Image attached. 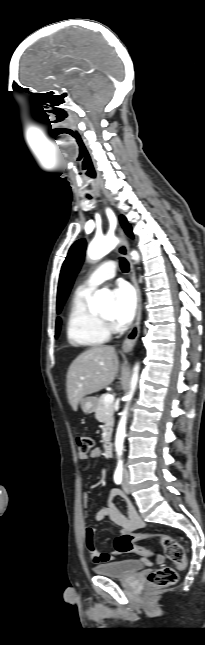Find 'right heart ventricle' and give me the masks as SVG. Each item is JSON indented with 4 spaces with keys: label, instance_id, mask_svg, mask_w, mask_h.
<instances>
[{
    "label": "right heart ventricle",
    "instance_id": "e07e8e85",
    "mask_svg": "<svg viewBox=\"0 0 205 645\" xmlns=\"http://www.w3.org/2000/svg\"><path fill=\"white\" fill-rule=\"evenodd\" d=\"M91 292L77 289L67 318L66 334L72 345L94 347L109 339V330L90 306Z\"/></svg>",
    "mask_w": 205,
    "mask_h": 645
}]
</instances>
